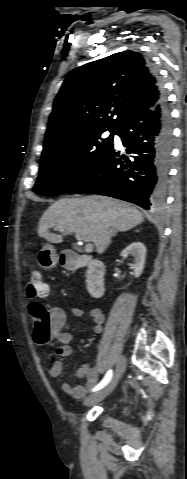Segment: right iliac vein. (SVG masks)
Masks as SVG:
<instances>
[{"label": "right iliac vein", "instance_id": "right-iliac-vein-1", "mask_svg": "<svg viewBox=\"0 0 187 479\" xmlns=\"http://www.w3.org/2000/svg\"><path fill=\"white\" fill-rule=\"evenodd\" d=\"M125 365H126L125 358L120 357L117 360L115 373H114V376H113L112 380L109 382V384L107 386H105L102 390L86 397V399L84 400V404L86 406L93 405V404L103 400L106 396H108L116 388V386H117V384H118V382H119V380H120V378H121V376L124 372Z\"/></svg>", "mask_w": 187, "mask_h": 479}]
</instances>
